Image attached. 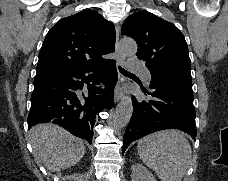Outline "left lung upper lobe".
Wrapping results in <instances>:
<instances>
[{"mask_svg":"<svg viewBox=\"0 0 228 181\" xmlns=\"http://www.w3.org/2000/svg\"><path fill=\"white\" fill-rule=\"evenodd\" d=\"M121 33L136 41L137 57L146 61L149 71L192 84L187 43L174 24L143 10L126 19Z\"/></svg>","mask_w":228,"mask_h":181,"instance_id":"left-lung-upper-lobe-1","label":"left lung upper lobe"}]
</instances>
